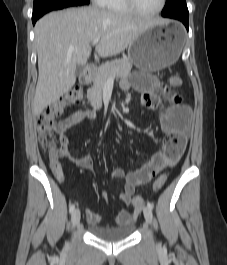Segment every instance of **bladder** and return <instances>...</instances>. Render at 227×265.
Listing matches in <instances>:
<instances>
[{
    "label": "bladder",
    "mask_w": 227,
    "mask_h": 265,
    "mask_svg": "<svg viewBox=\"0 0 227 265\" xmlns=\"http://www.w3.org/2000/svg\"><path fill=\"white\" fill-rule=\"evenodd\" d=\"M89 232L97 239L105 242H119L128 239L135 230V224L131 221L116 227H101L91 225Z\"/></svg>",
    "instance_id": "1"
}]
</instances>
